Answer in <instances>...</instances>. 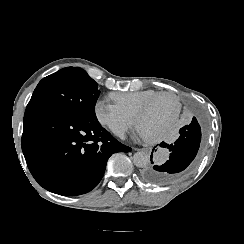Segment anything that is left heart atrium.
I'll return each mask as SVG.
<instances>
[{
  "label": "left heart atrium",
  "instance_id": "39dd6f15",
  "mask_svg": "<svg viewBox=\"0 0 244 244\" xmlns=\"http://www.w3.org/2000/svg\"><path fill=\"white\" fill-rule=\"evenodd\" d=\"M159 136V134H153L151 136L148 135V137H151V138H157Z\"/></svg>",
  "mask_w": 244,
  "mask_h": 244
}]
</instances>
